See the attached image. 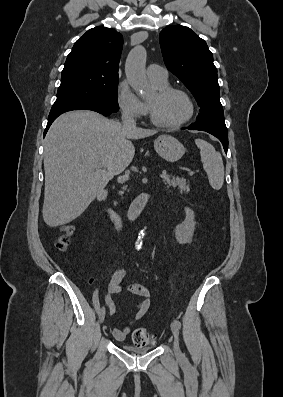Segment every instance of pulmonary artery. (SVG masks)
<instances>
[{
    "mask_svg": "<svg viewBox=\"0 0 283 397\" xmlns=\"http://www.w3.org/2000/svg\"><path fill=\"white\" fill-rule=\"evenodd\" d=\"M147 75L150 78V80H155V81L167 80V71L163 67L157 64H150L148 66Z\"/></svg>",
    "mask_w": 283,
    "mask_h": 397,
    "instance_id": "1",
    "label": "pulmonary artery"
}]
</instances>
